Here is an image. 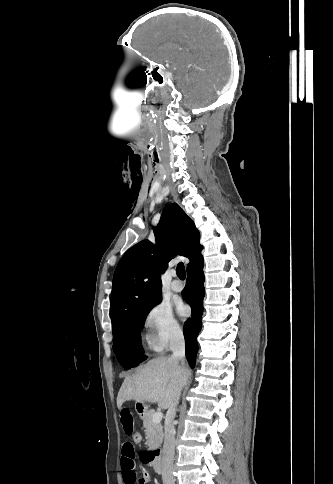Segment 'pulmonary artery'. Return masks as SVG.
Here are the masks:
<instances>
[{
	"label": "pulmonary artery",
	"instance_id": "obj_1",
	"mask_svg": "<svg viewBox=\"0 0 333 484\" xmlns=\"http://www.w3.org/2000/svg\"><path fill=\"white\" fill-rule=\"evenodd\" d=\"M174 276H176V275L174 274ZM183 288H184V285H183V283L180 280L174 279L172 281V283H171V289L173 291L180 292V291H182Z\"/></svg>",
	"mask_w": 333,
	"mask_h": 484
}]
</instances>
